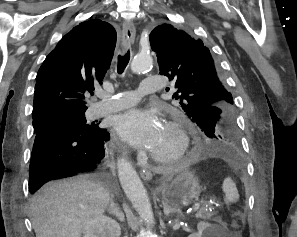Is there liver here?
<instances>
[{"mask_svg": "<svg viewBox=\"0 0 297 237\" xmlns=\"http://www.w3.org/2000/svg\"><path fill=\"white\" fill-rule=\"evenodd\" d=\"M109 200V189L89 176L46 184L30 203L36 237H81L87 222L101 216Z\"/></svg>", "mask_w": 297, "mask_h": 237, "instance_id": "obj_1", "label": "liver"}]
</instances>
